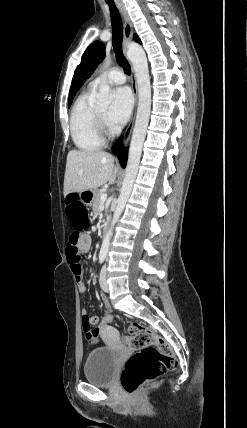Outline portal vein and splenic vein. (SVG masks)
I'll list each match as a JSON object with an SVG mask.
<instances>
[{
	"label": "portal vein and splenic vein",
	"mask_w": 247,
	"mask_h": 428,
	"mask_svg": "<svg viewBox=\"0 0 247 428\" xmlns=\"http://www.w3.org/2000/svg\"><path fill=\"white\" fill-rule=\"evenodd\" d=\"M106 199H107V194H102L101 195V203H104L105 201H106Z\"/></svg>",
	"instance_id": "obj_1"
}]
</instances>
